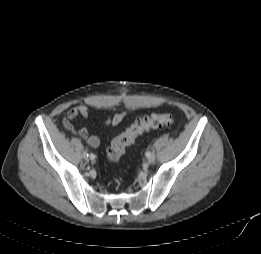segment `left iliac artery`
I'll return each instance as SVG.
<instances>
[{
  "label": "left iliac artery",
  "mask_w": 261,
  "mask_h": 254,
  "mask_svg": "<svg viewBox=\"0 0 261 254\" xmlns=\"http://www.w3.org/2000/svg\"><path fill=\"white\" fill-rule=\"evenodd\" d=\"M145 155H146V157L148 158V157H150L152 154H151V152L147 151V152L145 153Z\"/></svg>",
  "instance_id": "obj_1"
}]
</instances>
